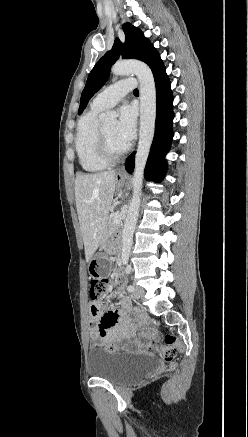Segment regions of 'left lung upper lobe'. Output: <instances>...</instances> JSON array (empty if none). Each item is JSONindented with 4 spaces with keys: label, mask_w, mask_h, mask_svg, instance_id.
Listing matches in <instances>:
<instances>
[{
    "label": "left lung upper lobe",
    "mask_w": 248,
    "mask_h": 437,
    "mask_svg": "<svg viewBox=\"0 0 248 437\" xmlns=\"http://www.w3.org/2000/svg\"><path fill=\"white\" fill-rule=\"evenodd\" d=\"M122 28L125 33V43L122 44L117 38L111 51H108L95 64L82 92L78 114L83 112L90 98L105 84L112 64L120 55H123L124 59L134 58L145 62L153 74L163 67L158 52L138 28L129 22L125 23Z\"/></svg>",
    "instance_id": "left-lung-upper-lobe-1"
}]
</instances>
